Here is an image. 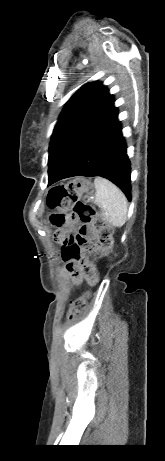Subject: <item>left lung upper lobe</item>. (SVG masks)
<instances>
[{
	"instance_id": "1",
	"label": "left lung upper lobe",
	"mask_w": 165,
	"mask_h": 461,
	"mask_svg": "<svg viewBox=\"0 0 165 461\" xmlns=\"http://www.w3.org/2000/svg\"><path fill=\"white\" fill-rule=\"evenodd\" d=\"M114 102L106 86L90 82L82 86L66 103L57 122L49 146L48 178Z\"/></svg>"
}]
</instances>
